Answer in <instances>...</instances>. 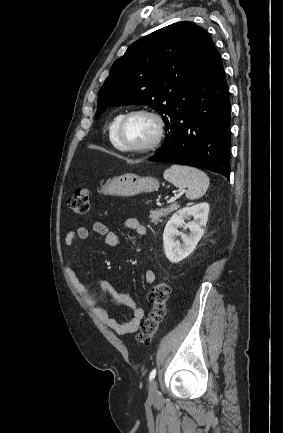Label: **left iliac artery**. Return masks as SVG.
I'll return each mask as SVG.
<instances>
[{
	"label": "left iliac artery",
	"mask_w": 283,
	"mask_h": 433,
	"mask_svg": "<svg viewBox=\"0 0 283 433\" xmlns=\"http://www.w3.org/2000/svg\"><path fill=\"white\" fill-rule=\"evenodd\" d=\"M155 375H156V368H154V369L150 372L149 380H150V381L153 380V379L155 378Z\"/></svg>",
	"instance_id": "obj_1"
}]
</instances>
